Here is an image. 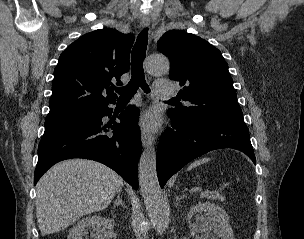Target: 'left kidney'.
I'll use <instances>...</instances> for the list:
<instances>
[{
    "label": "left kidney",
    "mask_w": 304,
    "mask_h": 239,
    "mask_svg": "<svg viewBox=\"0 0 304 239\" xmlns=\"http://www.w3.org/2000/svg\"><path fill=\"white\" fill-rule=\"evenodd\" d=\"M195 218L192 230L201 233L198 239H213L210 234L212 229L217 228V236L221 239H235L233 230L229 225V217L225 210L218 205L206 202L200 203L190 208L187 219Z\"/></svg>",
    "instance_id": "5707ae66"
}]
</instances>
